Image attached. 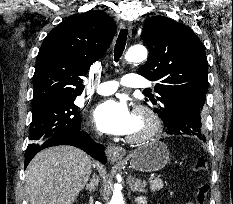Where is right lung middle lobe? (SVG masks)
<instances>
[{
    "label": "right lung middle lobe",
    "instance_id": "dd1d6c3e",
    "mask_svg": "<svg viewBox=\"0 0 233 204\" xmlns=\"http://www.w3.org/2000/svg\"><path fill=\"white\" fill-rule=\"evenodd\" d=\"M75 98L49 100L32 105L33 115L27 150L39 148L46 140L62 132L80 131V114Z\"/></svg>",
    "mask_w": 233,
    "mask_h": 204
}]
</instances>
